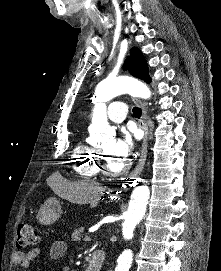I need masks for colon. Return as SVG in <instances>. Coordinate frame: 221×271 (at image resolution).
I'll return each mask as SVG.
<instances>
[{"mask_svg": "<svg viewBox=\"0 0 221 271\" xmlns=\"http://www.w3.org/2000/svg\"><path fill=\"white\" fill-rule=\"evenodd\" d=\"M38 242V236L34 227L29 223L21 222L17 230L16 247L26 249Z\"/></svg>", "mask_w": 221, "mask_h": 271, "instance_id": "5ec220e1", "label": "colon"}]
</instances>
